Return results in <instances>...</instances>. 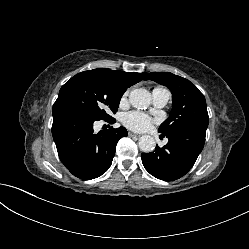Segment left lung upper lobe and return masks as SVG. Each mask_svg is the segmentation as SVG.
<instances>
[{"mask_svg":"<svg viewBox=\"0 0 249 249\" xmlns=\"http://www.w3.org/2000/svg\"><path fill=\"white\" fill-rule=\"evenodd\" d=\"M145 80H153L165 85L173 95L169 117L158 129L162 135L183 129H207L209 117L206 101L204 95L193 83L168 72L149 73Z\"/></svg>","mask_w":249,"mask_h":249,"instance_id":"left-lung-upper-lobe-1","label":"left lung upper lobe"}]
</instances>
